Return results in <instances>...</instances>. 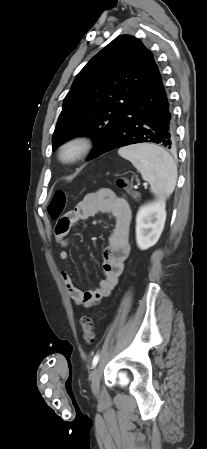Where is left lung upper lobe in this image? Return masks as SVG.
<instances>
[{
	"label": "left lung upper lobe",
	"instance_id": "left-lung-upper-lobe-1",
	"mask_svg": "<svg viewBox=\"0 0 207 449\" xmlns=\"http://www.w3.org/2000/svg\"><path fill=\"white\" fill-rule=\"evenodd\" d=\"M156 63L135 37L119 36L77 75L64 99L52 142L53 150L77 135H89L95 157L116 132L148 82Z\"/></svg>",
	"mask_w": 207,
	"mask_h": 449
}]
</instances>
